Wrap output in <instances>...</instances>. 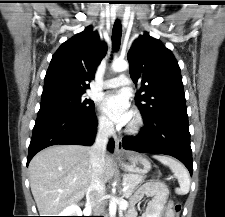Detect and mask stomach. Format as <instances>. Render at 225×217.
<instances>
[{"label": "stomach", "mask_w": 225, "mask_h": 217, "mask_svg": "<svg viewBox=\"0 0 225 217\" xmlns=\"http://www.w3.org/2000/svg\"><path fill=\"white\" fill-rule=\"evenodd\" d=\"M121 168L129 174H145L151 169V164L146 156L135 153L126 152L120 159Z\"/></svg>", "instance_id": "obj_1"}]
</instances>
